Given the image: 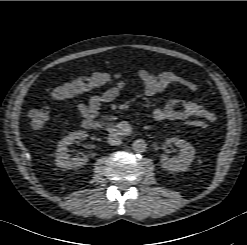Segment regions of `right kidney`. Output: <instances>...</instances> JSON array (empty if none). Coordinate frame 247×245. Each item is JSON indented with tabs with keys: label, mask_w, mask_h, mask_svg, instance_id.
Here are the masks:
<instances>
[{
	"label": "right kidney",
	"mask_w": 247,
	"mask_h": 245,
	"mask_svg": "<svg viewBox=\"0 0 247 245\" xmlns=\"http://www.w3.org/2000/svg\"><path fill=\"white\" fill-rule=\"evenodd\" d=\"M88 137L86 131H75L65 136L58 144L56 150V165L62 169H71L85 165L88 162V157L83 155L80 158H71L68 154V146L76 139H85Z\"/></svg>",
	"instance_id": "right-kidney-1"
}]
</instances>
